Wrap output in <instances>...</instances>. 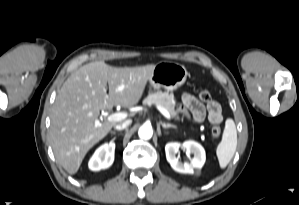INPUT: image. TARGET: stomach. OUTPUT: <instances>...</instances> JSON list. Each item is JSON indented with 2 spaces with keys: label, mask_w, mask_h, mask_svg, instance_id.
<instances>
[{
  "label": "stomach",
  "mask_w": 299,
  "mask_h": 205,
  "mask_svg": "<svg viewBox=\"0 0 299 205\" xmlns=\"http://www.w3.org/2000/svg\"><path fill=\"white\" fill-rule=\"evenodd\" d=\"M187 74L185 66L181 64L160 62L155 65L149 82L154 89L174 91L185 83Z\"/></svg>",
  "instance_id": "1"
}]
</instances>
